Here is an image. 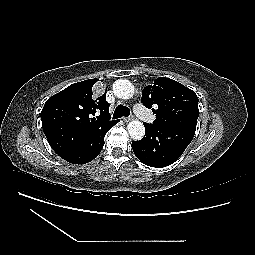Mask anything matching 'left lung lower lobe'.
<instances>
[{
  "mask_svg": "<svg viewBox=\"0 0 255 255\" xmlns=\"http://www.w3.org/2000/svg\"><path fill=\"white\" fill-rule=\"evenodd\" d=\"M145 136L132 142L136 157L147 166L161 168L174 163L192 141L195 132L144 123Z\"/></svg>",
  "mask_w": 255,
  "mask_h": 255,
  "instance_id": "1",
  "label": "left lung lower lobe"
}]
</instances>
